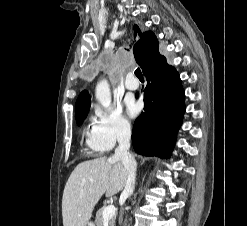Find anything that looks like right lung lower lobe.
I'll return each mask as SVG.
<instances>
[{"instance_id": "1", "label": "right lung lower lobe", "mask_w": 247, "mask_h": 226, "mask_svg": "<svg viewBox=\"0 0 247 226\" xmlns=\"http://www.w3.org/2000/svg\"><path fill=\"white\" fill-rule=\"evenodd\" d=\"M144 112L135 120L132 143L138 154L170 156L185 112L180 76L160 48L146 56Z\"/></svg>"}]
</instances>
